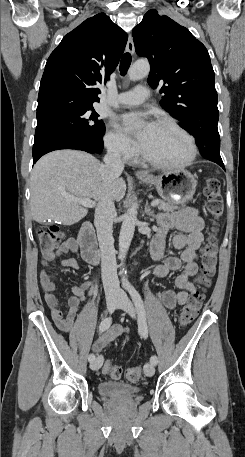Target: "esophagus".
Instances as JSON below:
<instances>
[{"label":"esophagus","instance_id":"obj_1","mask_svg":"<svg viewBox=\"0 0 245 457\" xmlns=\"http://www.w3.org/2000/svg\"><path fill=\"white\" fill-rule=\"evenodd\" d=\"M126 50L128 53L130 54H134V42H133V38L131 35H129V38H128V41H127V45H126ZM136 175L137 176H143V177H148L149 174L147 172H144V171H137L136 172Z\"/></svg>","mask_w":245,"mask_h":457}]
</instances>
